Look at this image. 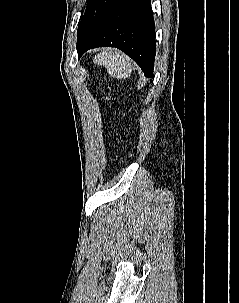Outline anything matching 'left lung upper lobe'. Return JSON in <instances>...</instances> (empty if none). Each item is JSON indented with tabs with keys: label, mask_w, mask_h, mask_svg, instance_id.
Listing matches in <instances>:
<instances>
[{
	"label": "left lung upper lobe",
	"mask_w": 239,
	"mask_h": 303,
	"mask_svg": "<svg viewBox=\"0 0 239 303\" xmlns=\"http://www.w3.org/2000/svg\"><path fill=\"white\" fill-rule=\"evenodd\" d=\"M117 0H88V4L80 22L77 35V51L86 36L93 31L109 12Z\"/></svg>",
	"instance_id": "obj_1"
}]
</instances>
